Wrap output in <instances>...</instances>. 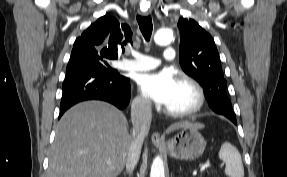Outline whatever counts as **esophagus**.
<instances>
[{"label":"esophagus","mask_w":287,"mask_h":177,"mask_svg":"<svg viewBox=\"0 0 287 177\" xmlns=\"http://www.w3.org/2000/svg\"><path fill=\"white\" fill-rule=\"evenodd\" d=\"M139 13L145 17L149 16L151 14V11L150 10H147V11H142V10H139ZM151 140H152V143L155 144V145H165L166 142L164 140V138L162 136H160V134L154 132L151 136Z\"/></svg>","instance_id":"34e87169"}]
</instances>
